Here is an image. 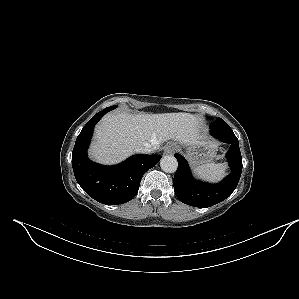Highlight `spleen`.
I'll return each mask as SVG.
<instances>
[{"mask_svg": "<svg viewBox=\"0 0 299 299\" xmlns=\"http://www.w3.org/2000/svg\"><path fill=\"white\" fill-rule=\"evenodd\" d=\"M226 165L223 163H206L197 166L194 172L201 178L208 180H219L225 175Z\"/></svg>", "mask_w": 299, "mask_h": 299, "instance_id": "spleen-1", "label": "spleen"}]
</instances>
